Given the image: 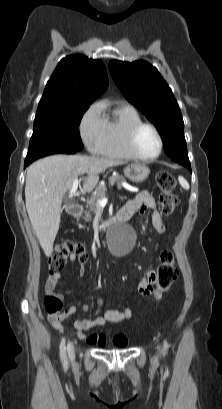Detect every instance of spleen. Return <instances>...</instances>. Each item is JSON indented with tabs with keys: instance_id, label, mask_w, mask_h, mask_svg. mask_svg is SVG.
I'll return each mask as SVG.
<instances>
[{
	"instance_id": "3e777b00",
	"label": "spleen",
	"mask_w": 222,
	"mask_h": 409,
	"mask_svg": "<svg viewBox=\"0 0 222 409\" xmlns=\"http://www.w3.org/2000/svg\"><path fill=\"white\" fill-rule=\"evenodd\" d=\"M178 181L184 189L189 190V184L182 176L178 177Z\"/></svg>"
}]
</instances>
